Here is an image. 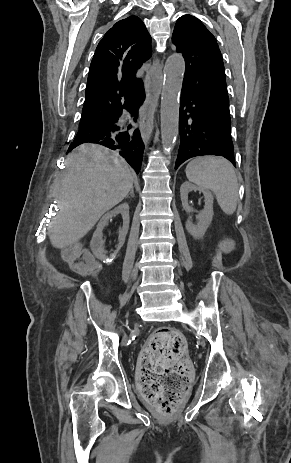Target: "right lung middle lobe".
<instances>
[{
	"mask_svg": "<svg viewBox=\"0 0 291 463\" xmlns=\"http://www.w3.org/2000/svg\"><path fill=\"white\" fill-rule=\"evenodd\" d=\"M87 125H89V124H88V123H80V124H79V127H80V126H87Z\"/></svg>",
	"mask_w": 291,
	"mask_h": 463,
	"instance_id": "right-lung-middle-lobe-1",
	"label": "right lung middle lobe"
}]
</instances>
